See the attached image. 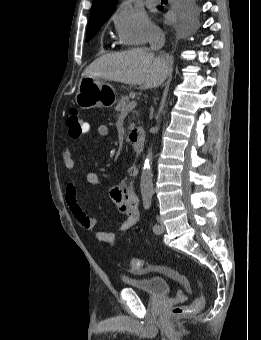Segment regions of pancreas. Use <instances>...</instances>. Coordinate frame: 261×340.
<instances>
[{
    "label": "pancreas",
    "instance_id": "1",
    "mask_svg": "<svg viewBox=\"0 0 261 340\" xmlns=\"http://www.w3.org/2000/svg\"><path fill=\"white\" fill-rule=\"evenodd\" d=\"M130 103L129 97L128 96H124L120 99V101H118L116 107H115V111L117 112H128V104ZM134 126V124L131 125V128Z\"/></svg>",
    "mask_w": 261,
    "mask_h": 340
}]
</instances>
